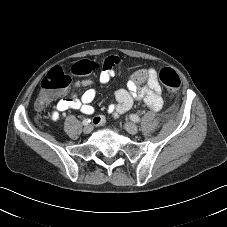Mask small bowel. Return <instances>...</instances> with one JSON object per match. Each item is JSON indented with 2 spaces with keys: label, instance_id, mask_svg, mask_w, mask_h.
<instances>
[{
  "label": "small bowel",
  "instance_id": "1",
  "mask_svg": "<svg viewBox=\"0 0 227 227\" xmlns=\"http://www.w3.org/2000/svg\"><path fill=\"white\" fill-rule=\"evenodd\" d=\"M118 63L119 59L115 56H108L101 61L100 84L106 85L111 81ZM143 82H146V84L141 85ZM94 84V81L91 79H81L74 82V90H86L80 98L76 94H72L70 97L60 99L55 109L51 111L50 118L56 120L60 112L66 110H80L86 115H92L95 112L92 102L97 95ZM114 95L116 103L107 106V112L113 116L126 113L136 100L144 102L153 111H159L163 106L161 87L157 73L153 68L136 71L127 80L126 88L117 89ZM102 121L103 118H99V122Z\"/></svg>",
  "mask_w": 227,
  "mask_h": 227
}]
</instances>
